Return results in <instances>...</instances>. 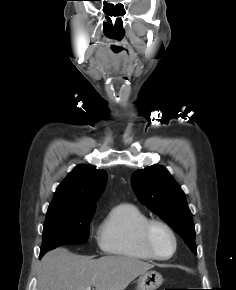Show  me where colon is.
<instances>
[{"mask_svg": "<svg viewBox=\"0 0 236 290\" xmlns=\"http://www.w3.org/2000/svg\"><path fill=\"white\" fill-rule=\"evenodd\" d=\"M164 290H178V289H164Z\"/></svg>", "mask_w": 236, "mask_h": 290, "instance_id": "colon-1", "label": "colon"}]
</instances>
